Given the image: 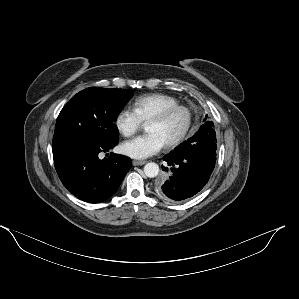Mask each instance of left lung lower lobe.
<instances>
[{
  "label": "left lung lower lobe",
  "instance_id": "left-lung-lower-lobe-1",
  "mask_svg": "<svg viewBox=\"0 0 299 299\" xmlns=\"http://www.w3.org/2000/svg\"><path fill=\"white\" fill-rule=\"evenodd\" d=\"M210 141L203 136L195 143H184L179 151H171L163 160L168 167V178L160 180L156 185L159 197L170 201H182L197 194L207 184L215 167L216 156Z\"/></svg>",
  "mask_w": 299,
  "mask_h": 299
}]
</instances>
